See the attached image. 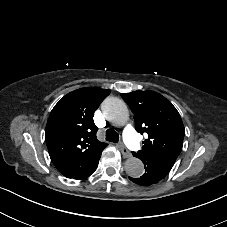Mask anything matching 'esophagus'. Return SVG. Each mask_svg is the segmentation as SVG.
Here are the masks:
<instances>
[{
	"mask_svg": "<svg viewBox=\"0 0 227 227\" xmlns=\"http://www.w3.org/2000/svg\"><path fill=\"white\" fill-rule=\"evenodd\" d=\"M119 148H120V151H121L122 155L125 158H129V157L132 156L130 151L126 148V146L122 142L119 143Z\"/></svg>",
	"mask_w": 227,
	"mask_h": 227,
	"instance_id": "1",
	"label": "esophagus"
}]
</instances>
